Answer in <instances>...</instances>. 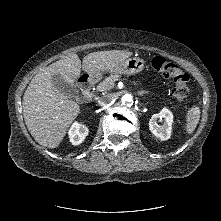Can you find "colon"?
<instances>
[{"instance_id": "1", "label": "colon", "mask_w": 221, "mask_h": 221, "mask_svg": "<svg viewBox=\"0 0 221 221\" xmlns=\"http://www.w3.org/2000/svg\"><path fill=\"white\" fill-rule=\"evenodd\" d=\"M151 66L156 72L172 80L174 85L172 92L178 101H183L189 95L190 76L188 73L161 56L154 57L151 60Z\"/></svg>"}]
</instances>
